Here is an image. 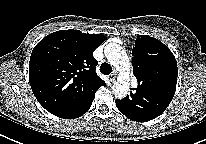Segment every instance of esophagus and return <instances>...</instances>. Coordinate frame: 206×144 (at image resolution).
I'll return each instance as SVG.
<instances>
[{
	"mask_svg": "<svg viewBox=\"0 0 206 144\" xmlns=\"http://www.w3.org/2000/svg\"><path fill=\"white\" fill-rule=\"evenodd\" d=\"M109 79H110L111 82H114L115 79H116V74L115 73L110 74Z\"/></svg>",
	"mask_w": 206,
	"mask_h": 144,
	"instance_id": "1",
	"label": "esophagus"
}]
</instances>
